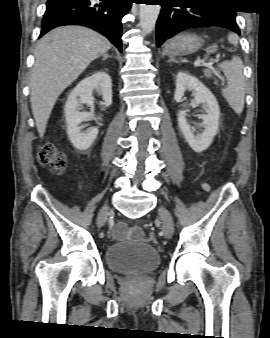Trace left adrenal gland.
Wrapping results in <instances>:
<instances>
[{"label":"left adrenal gland","instance_id":"a2214340","mask_svg":"<svg viewBox=\"0 0 270 338\" xmlns=\"http://www.w3.org/2000/svg\"><path fill=\"white\" fill-rule=\"evenodd\" d=\"M168 62H177V61L171 58L168 60Z\"/></svg>","mask_w":270,"mask_h":338}]
</instances>
